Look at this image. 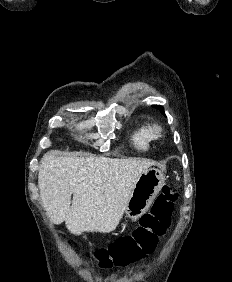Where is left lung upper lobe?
I'll use <instances>...</instances> for the list:
<instances>
[{
    "label": "left lung upper lobe",
    "instance_id": "1",
    "mask_svg": "<svg viewBox=\"0 0 232 282\" xmlns=\"http://www.w3.org/2000/svg\"><path fill=\"white\" fill-rule=\"evenodd\" d=\"M153 107L161 110V112L164 113V108L162 106H160V105H153Z\"/></svg>",
    "mask_w": 232,
    "mask_h": 282
}]
</instances>
